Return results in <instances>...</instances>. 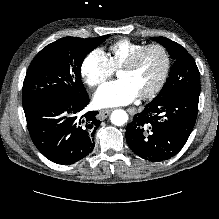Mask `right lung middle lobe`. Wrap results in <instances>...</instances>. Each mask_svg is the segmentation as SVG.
<instances>
[{"label": "right lung middle lobe", "mask_w": 219, "mask_h": 219, "mask_svg": "<svg viewBox=\"0 0 219 219\" xmlns=\"http://www.w3.org/2000/svg\"><path fill=\"white\" fill-rule=\"evenodd\" d=\"M109 36L89 39L64 37L42 49L26 73L23 107L51 97L85 98L87 92L80 78L82 62Z\"/></svg>", "instance_id": "dd1d6c3e"}]
</instances>
